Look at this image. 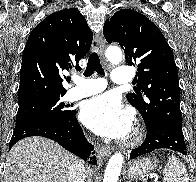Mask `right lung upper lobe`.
Listing matches in <instances>:
<instances>
[{
	"label": "right lung upper lobe",
	"instance_id": "cb5924a9",
	"mask_svg": "<svg viewBox=\"0 0 196 182\" xmlns=\"http://www.w3.org/2000/svg\"><path fill=\"white\" fill-rule=\"evenodd\" d=\"M93 33L76 9L46 17L31 32L23 51L18 90L19 105L62 96L63 70L71 69L89 51Z\"/></svg>",
	"mask_w": 196,
	"mask_h": 182
}]
</instances>
